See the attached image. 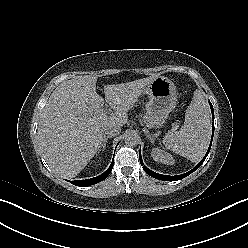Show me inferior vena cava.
Wrapping results in <instances>:
<instances>
[{
  "label": "inferior vena cava",
  "mask_w": 248,
  "mask_h": 248,
  "mask_svg": "<svg viewBox=\"0 0 248 248\" xmlns=\"http://www.w3.org/2000/svg\"><path fill=\"white\" fill-rule=\"evenodd\" d=\"M121 131V127L117 124H109L108 126L105 127L104 132L108 136L114 137L118 135Z\"/></svg>",
  "instance_id": "1"
}]
</instances>
